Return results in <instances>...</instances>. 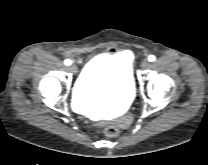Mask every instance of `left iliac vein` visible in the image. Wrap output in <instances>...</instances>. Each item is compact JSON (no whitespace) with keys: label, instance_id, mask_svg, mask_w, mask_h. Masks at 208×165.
I'll return each mask as SVG.
<instances>
[{"label":"left iliac vein","instance_id":"left-iliac-vein-1","mask_svg":"<svg viewBox=\"0 0 208 165\" xmlns=\"http://www.w3.org/2000/svg\"><path fill=\"white\" fill-rule=\"evenodd\" d=\"M150 66V62L148 61V59H144L142 62H141V67L146 69Z\"/></svg>","mask_w":208,"mask_h":165}]
</instances>
